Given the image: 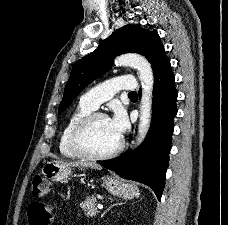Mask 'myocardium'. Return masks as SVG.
<instances>
[{
    "label": "myocardium",
    "mask_w": 228,
    "mask_h": 225,
    "mask_svg": "<svg viewBox=\"0 0 228 225\" xmlns=\"http://www.w3.org/2000/svg\"><path fill=\"white\" fill-rule=\"evenodd\" d=\"M97 119L109 120L106 114L100 112H91L90 114L86 115L73 128L70 135V146L77 154L89 159H106L113 157L122 151L124 147V142L122 139H120L118 145L115 148L106 152H96L90 149L86 144V134L90 126Z\"/></svg>",
    "instance_id": "1"
}]
</instances>
